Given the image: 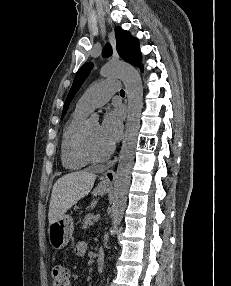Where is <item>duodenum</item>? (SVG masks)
Segmentation results:
<instances>
[{"instance_id":"1","label":"duodenum","mask_w":231,"mask_h":286,"mask_svg":"<svg viewBox=\"0 0 231 286\" xmlns=\"http://www.w3.org/2000/svg\"><path fill=\"white\" fill-rule=\"evenodd\" d=\"M104 263H105V257L104 253L102 251H99L97 254V260H96V270L97 272H102L104 269Z\"/></svg>"}]
</instances>
